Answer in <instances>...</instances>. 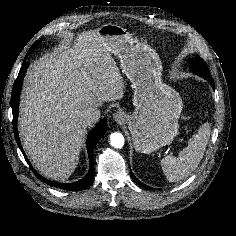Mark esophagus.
Here are the masks:
<instances>
[{
  "instance_id": "34e87169",
  "label": "esophagus",
  "mask_w": 236,
  "mask_h": 236,
  "mask_svg": "<svg viewBox=\"0 0 236 236\" xmlns=\"http://www.w3.org/2000/svg\"><path fill=\"white\" fill-rule=\"evenodd\" d=\"M113 120L118 123V124H123L125 121V115L123 112L121 111H117L116 113H114L113 115Z\"/></svg>"
}]
</instances>
